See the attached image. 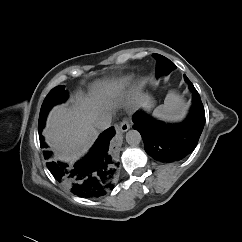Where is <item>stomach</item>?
I'll use <instances>...</instances> for the list:
<instances>
[{
    "mask_svg": "<svg viewBox=\"0 0 242 242\" xmlns=\"http://www.w3.org/2000/svg\"><path fill=\"white\" fill-rule=\"evenodd\" d=\"M148 101H149V106L151 107L153 105V102L150 98L148 99Z\"/></svg>",
    "mask_w": 242,
    "mask_h": 242,
    "instance_id": "obj_1",
    "label": "stomach"
}]
</instances>
